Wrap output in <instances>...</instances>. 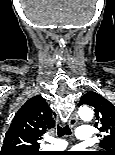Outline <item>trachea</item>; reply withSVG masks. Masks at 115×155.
Returning <instances> with one entry per match:
<instances>
[{
	"instance_id": "trachea-1",
	"label": "trachea",
	"mask_w": 115,
	"mask_h": 155,
	"mask_svg": "<svg viewBox=\"0 0 115 155\" xmlns=\"http://www.w3.org/2000/svg\"><path fill=\"white\" fill-rule=\"evenodd\" d=\"M57 131H58V137H62L64 135H70L71 134V130L68 127V125L65 126H61V125H57Z\"/></svg>"
}]
</instances>
